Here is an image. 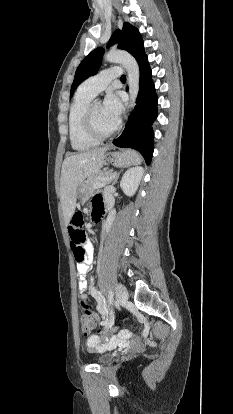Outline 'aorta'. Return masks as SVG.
Instances as JSON below:
<instances>
[{
    "label": "aorta",
    "mask_w": 233,
    "mask_h": 414,
    "mask_svg": "<svg viewBox=\"0 0 233 414\" xmlns=\"http://www.w3.org/2000/svg\"><path fill=\"white\" fill-rule=\"evenodd\" d=\"M104 59L110 63L121 64L128 73L130 108L134 109L139 92L140 72L135 58L126 51L111 50Z\"/></svg>",
    "instance_id": "1"
}]
</instances>
